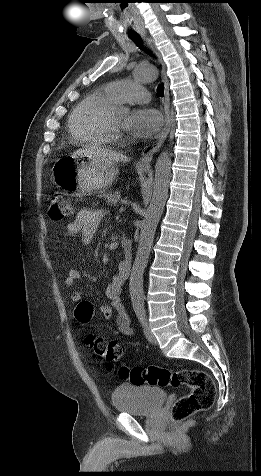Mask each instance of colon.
Returning <instances> with one entry per match:
<instances>
[{
    "label": "colon",
    "mask_w": 261,
    "mask_h": 476,
    "mask_svg": "<svg viewBox=\"0 0 261 476\" xmlns=\"http://www.w3.org/2000/svg\"><path fill=\"white\" fill-rule=\"evenodd\" d=\"M72 213V205L59 192H53L48 197V214L53 220H62ZM94 315V306L89 301H81L75 310V318L80 326H87ZM85 344L106 364L118 361L123 353V347L112 341H106L93 334L84 337ZM123 377L133 384H147L160 387L187 386L191 392L178 398L171 407V418L174 422H182L193 414L209 409L215 400L216 388L213 380L203 370L179 369L171 370L159 366L122 368Z\"/></svg>",
    "instance_id": "1"
}]
</instances>
